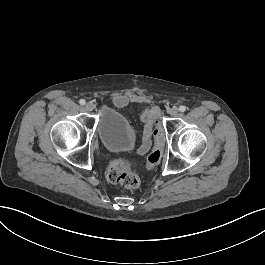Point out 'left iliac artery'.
I'll return each instance as SVG.
<instances>
[{"mask_svg":"<svg viewBox=\"0 0 265 265\" xmlns=\"http://www.w3.org/2000/svg\"><path fill=\"white\" fill-rule=\"evenodd\" d=\"M179 111H180V112H184V111H186V106H183V105L180 106V107H179Z\"/></svg>","mask_w":265,"mask_h":265,"instance_id":"1","label":"left iliac artery"}]
</instances>
